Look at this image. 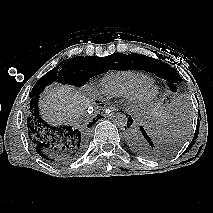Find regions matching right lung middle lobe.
Masks as SVG:
<instances>
[{
  "label": "right lung middle lobe",
  "instance_id": "dd1d6c3e",
  "mask_svg": "<svg viewBox=\"0 0 213 213\" xmlns=\"http://www.w3.org/2000/svg\"><path fill=\"white\" fill-rule=\"evenodd\" d=\"M123 56H125V54L114 53L105 57L77 56L72 59L65 60L36 82V85L30 93V98L40 94L46 86L50 85L54 81L82 86L95 75L107 72L111 69H125L122 67H115V65L119 64L125 65V63L120 62L121 60L119 58Z\"/></svg>",
  "mask_w": 213,
  "mask_h": 213
}]
</instances>
